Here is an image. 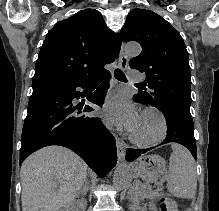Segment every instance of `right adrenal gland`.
Instances as JSON below:
<instances>
[{"instance_id":"2a0ac1e0","label":"right adrenal gland","mask_w":219,"mask_h":211,"mask_svg":"<svg viewBox=\"0 0 219 211\" xmlns=\"http://www.w3.org/2000/svg\"><path fill=\"white\" fill-rule=\"evenodd\" d=\"M79 193H82V195H84V189H81V191H78L77 195H79Z\"/></svg>"}]
</instances>
